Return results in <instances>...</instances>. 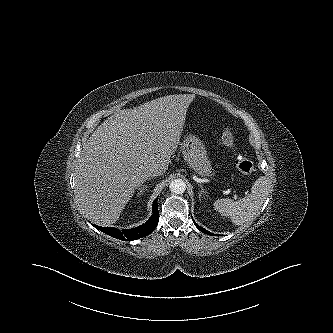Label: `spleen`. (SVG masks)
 I'll use <instances>...</instances> for the list:
<instances>
[{
  "instance_id": "obj_1",
  "label": "spleen",
  "mask_w": 333,
  "mask_h": 333,
  "mask_svg": "<svg viewBox=\"0 0 333 333\" xmlns=\"http://www.w3.org/2000/svg\"><path fill=\"white\" fill-rule=\"evenodd\" d=\"M270 189V183L265 176H260L251 187V193L234 201L218 199L214 202L215 209L222 215L229 216L235 225H243L252 221L261 208Z\"/></svg>"
}]
</instances>
